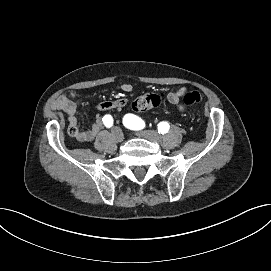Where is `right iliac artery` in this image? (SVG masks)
Here are the masks:
<instances>
[{
    "mask_svg": "<svg viewBox=\"0 0 271 271\" xmlns=\"http://www.w3.org/2000/svg\"><path fill=\"white\" fill-rule=\"evenodd\" d=\"M102 121L104 123V125L107 127V128H110L112 127L113 125V118L111 115H105L103 118H102Z\"/></svg>",
    "mask_w": 271,
    "mask_h": 271,
    "instance_id": "right-iliac-artery-1",
    "label": "right iliac artery"
}]
</instances>
